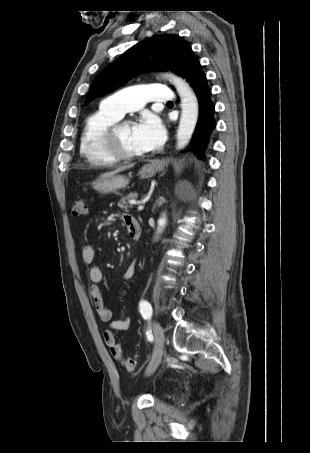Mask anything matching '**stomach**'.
<instances>
[{"instance_id": "obj_1", "label": "stomach", "mask_w": 310, "mask_h": 453, "mask_svg": "<svg viewBox=\"0 0 310 453\" xmlns=\"http://www.w3.org/2000/svg\"><path fill=\"white\" fill-rule=\"evenodd\" d=\"M157 172L156 166L153 164H146L139 170L141 178L153 177ZM129 184V179L122 175H113L106 178H100L93 183V188L100 193H110L122 188Z\"/></svg>"}]
</instances>
